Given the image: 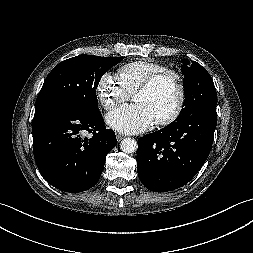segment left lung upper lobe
I'll use <instances>...</instances> for the list:
<instances>
[{
	"instance_id": "5c2ea615",
	"label": "left lung upper lobe",
	"mask_w": 253,
	"mask_h": 253,
	"mask_svg": "<svg viewBox=\"0 0 253 253\" xmlns=\"http://www.w3.org/2000/svg\"><path fill=\"white\" fill-rule=\"evenodd\" d=\"M185 101L179 116L168 126L186 119L195 111L208 109L216 111L217 93L210 74L197 62L182 60Z\"/></svg>"
}]
</instances>
